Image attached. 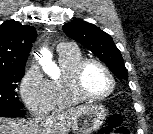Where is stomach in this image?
<instances>
[{"label": "stomach", "instance_id": "obj_1", "mask_svg": "<svg viewBox=\"0 0 153 134\" xmlns=\"http://www.w3.org/2000/svg\"><path fill=\"white\" fill-rule=\"evenodd\" d=\"M106 118V109L102 105L86 106L72 123L76 134H91L97 131Z\"/></svg>", "mask_w": 153, "mask_h": 134}]
</instances>
